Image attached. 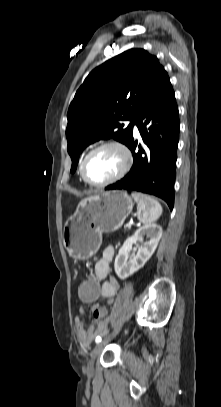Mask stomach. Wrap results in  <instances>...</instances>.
<instances>
[{"mask_svg": "<svg viewBox=\"0 0 221 407\" xmlns=\"http://www.w3.org/2000/svg\"><path fill=\"white\" fill-rule=\"evenodd\" d=\"M133 201L125 191L114 190L82 199L67 220L63 243L73 259L85 260L100 248L102 234L118 230L132 212Z\"/></svg>", "mask_w": 221, "mask_h": 407, "instance_id": "0dacf381", "label": "stomach"}]
</instances>
